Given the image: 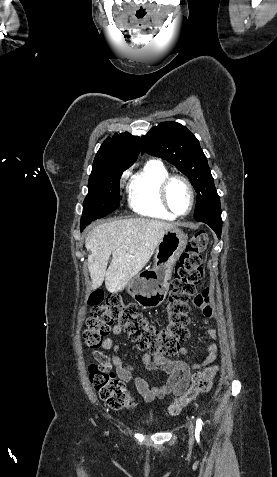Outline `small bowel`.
Instances as JSON below:
<instances>
[{
	"instance_id": "obj_1",
	"label": "small bowel",
	"mask_w": 277,
	"mask_h": 477,
	"mask_svg": "<svg viewBox=\"0 0 277 477\" xmlns=\"http://www.w3.org/2000/svg\"><path fill=\"white\" fill-rule=\"evenodd\" d=\"M194 304L202 309L204 324L209 325L214 315L213 299L210 290L205 288L203 292L195 298ZM121 332L122 328L119 325L114 326L112 329L114 336L121 334ZM205 333L214 340L218 339V333L213 328H206ZM101 347L105 350H111V358L95 349L92 352L95 360L109 367L113 366L117 377L121 381L133 382L146 402L162 399L169 395L176 397L181 396L189 386L194 371L210 366L216 360L219 350L218 345L212 343L205 348L206 356L201 361L190 363L179 358L180 356H186L188 354L186 348H180L173 357L163 354H156L152 357L149 354H144L141 358V363L148 371L160 370L168 375L166 382L160 385H150L145 378L135 375V366L126 363V358L121 351V347L115 344L111 337L105 338L101 343Z\"/></svg>"
}]
</instances>
